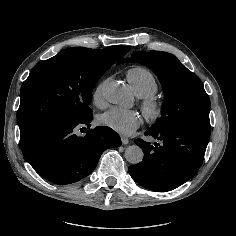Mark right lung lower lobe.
I'll return each mask as SVG.
<instances>
[{"label": "right lung lower lobe", "mask_w": 236, "mask_h": 236, "mask_svg": "<svg viewBox=\"0 0 236 236\" xmlns=\"http://www.w3.org/2000/svg\"><path fill=\"white\" fill-rule=\"evenodd\" d=\"M92 119L93 115L80 122L53 120L21 135L26 160L39 175L55 184L85 178L95 169L104 150L121 145L119 135L110 127L90 129ZM80 127L86 134L78 133Z\"/></svg>", "instance_id": "1"}]
</instances>
